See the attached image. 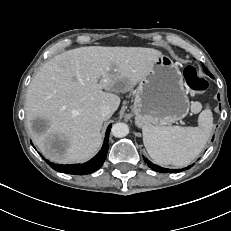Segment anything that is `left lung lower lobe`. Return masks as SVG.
<instances>
[{
    "label": "left lung lower lobe",
    "instance_id": "left-lung-lower-lobe-1",
    "mask_svg": "<svg viewBox=\"0 0 231 231\" xmlns=\"http://www.w3.org/2000/svg\"><path fill=\"white\" fill-rule=\"evenodd\" d=\"M218 98H219V95H218ZM219 100H220V98H219ZM143 159H144V161L147 163V165L151 168V169H153V170H155V171H157V172H161V173H177V172H181V171H183V170H186V169H189L191 166H188L187 168H183V169H167V168H162V167H160V166H157V165H155V164H153V163H151L147 158H145V157H143Z\"/></svg>",
    "mask_w": 231,
    "mask_h": 231
}]
</instances>
